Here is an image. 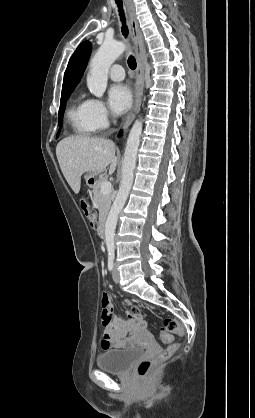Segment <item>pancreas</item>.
Instances as JSON below:
<instances>
[{
    "label": "pancreas",
    "mask_w": 255,
    "mask_h": 418,
    "mask_svg": "<svg viewBox=\"0 0 255 418\" xmlns=\"http://www.w3.org/2000/svg\"><path fill=\"white\" fill-rule=\"evenodd\" d=\"M108 181V177L106 174H102L97 184L93 187V201L94 204L98 207L99 210V218L102 220L107 215L109 208L111 206V193L102 194L101 193V186L104 182Z\"/></svg>",
    "instance_id": "1"
}]
</instances>
